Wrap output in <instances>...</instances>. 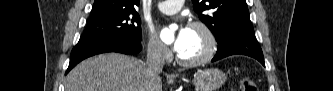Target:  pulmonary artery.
<instances>
[{"mask_svg": "<svg viewBox=\"0 0 333 91\" xmlns=\"http://www.w3.org/2000/svg\"><path fill=\"white\" fill-rule=\"evenodd\" d=\"M183 1L166 0L159 4V9L165 14H174L182 7Z\"/></svg>", "mask_w": 333, "mask_h": 91, "instance_id": "obj_1", "label": "pulmonary artery"}]
</instances>
